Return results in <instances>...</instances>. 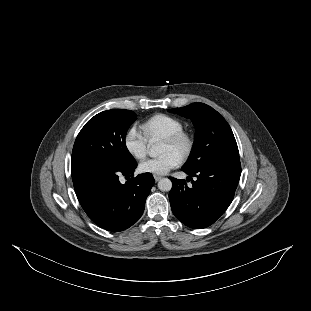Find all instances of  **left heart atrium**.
Segmentation results:
<instances>
[{
    "label": "left heart atrium",
    "mask_w": 311,
    "mask_h": 311,
    "mask_svg": "<svg viewBox=\"0 0 311 311\" xmlns=\"http://www.w3.org/2000/svg\"><path fill=\"white\" fill-rule=\"evenodd\" d=\"M180 163V155L176 152L170 151L159 157L143 161L139 165V170L145 174L164 176L167 175L172 169L178 167Z\"/></svg>",
    "instance_id": "1"
}]
</instances>
